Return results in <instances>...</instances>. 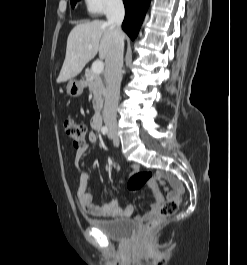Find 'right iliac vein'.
I'll return each mask as SVG.
<instances>
[{
    "label": "right iliac vein",
    "mask_w": 247,
    "mask_h": 265,
    "mask_svg": "<svg viewBox=\"0 0 247 265\" xmlns=\"http://www.w3.org/2000/svg\"><path fill=\"white\" fill-rule=\"evenodd\" d=\"M112 132H115V128H112V130H111Z\"/></svg>",
    "instance_id": "right-iliac-vein-1"
}]
</instances>
